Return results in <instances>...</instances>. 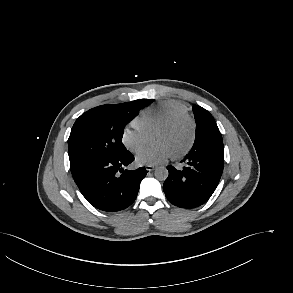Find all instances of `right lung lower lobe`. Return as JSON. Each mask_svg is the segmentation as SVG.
Instances as JSON below:
<instances>
[{
  "instance_id": "98d812e1",
  "label": "right lung lower lobe",
  "mask_w": 293,
  "mask_h": 293,
  "mask_svg": "<svg viewBox=\"0 0 293 293\" xmlns=\"http://www.w3.org/2000/svg\"><path fill=\"white\" fill-rule=\"evenodd\" d=\"M133 160L134 156L127 150L97 160L72 176L82 195L95 208L120 211L135 201L140 183L148 172L143 167L123 170Z\"/></svg>"
}]
</instances>
